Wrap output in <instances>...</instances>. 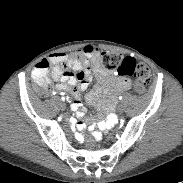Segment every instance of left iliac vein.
Here are the masks:
<instances>
[{"mask_svg": "<svg viewBox=\"0 0 183 183\" xmlns=\"http://www.w3.org/2000/svg\"><path fill=\"white\" fill-rule=\"evenodd\" d=\"M117 109H118L119 112H122V111H123V107H122L121 105H119V106L117 107Z\"/></svg>", "mask_w": 183, "mask_h": 183, "instance_id": "obj_1", "label": "left iliac vein"}]
</instances>
